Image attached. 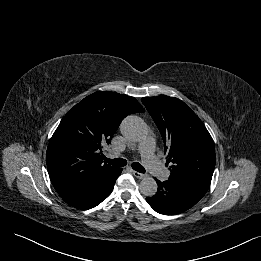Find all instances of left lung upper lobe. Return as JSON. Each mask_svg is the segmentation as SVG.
Returning <instances> with one entry per match:
<instances>
[{
    "instance_id": "obj_1",
    "label": "left lung upper lobe",
    "mask_w": 261,
    "mask_h": 261,
    "mask_svg": "<svg viewBox=\"0 0 261 261\" xmlns=\"http://www.w3.org/2000/svg\"><path fill=\"white\" fill-rule=\"evenodd\" d=\"M142 102L157 125L170 166L169 179L209 188L216 156L211 135L198 116L180 99L144 97Z\"/></svg>"
}]
</instances>
